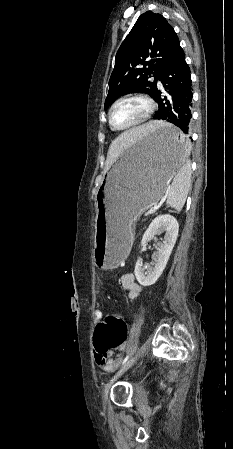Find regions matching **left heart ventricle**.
I'll use <instances>...</instances> for the list:
<instances>
[{
  "label": "left heart ventricle",
  "mask_w": 233,
  "mask_h": 449,
  "mask_svg": "<svg viewBox=\"0 0 233 449\" xmlns=\"http://www.w3.org/2000/svg\"><path fill=\"white\" fill-rule=\"evenodd\" d=\"M145 103L139 99H127L118 103L112 112L115 126L124 127L140 120L146 113Z\"/></svg>",
  "instance_id": "1"
}]
</instances>
